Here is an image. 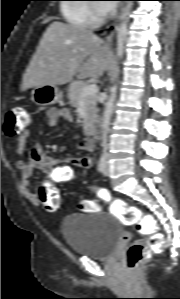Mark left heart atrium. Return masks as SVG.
<instances>
[{
    "mask_svg": "<svg viewBox=\"0 0 180 299\" xmlns=\"http://www.w3.org/2000/svg\"><path fill=\"white\" fill-rule=\"evenodd\" d=\"M112 2V1H108ZM116 5L114 3H103L100 4L99 10L103 14H109L115 10Z\"/></svg>",
    "mask_w": 180,
    "mask_h": 299,
    "instance_id": "obj_1",
    "label": "left heart atrium"
}]
</instances>
